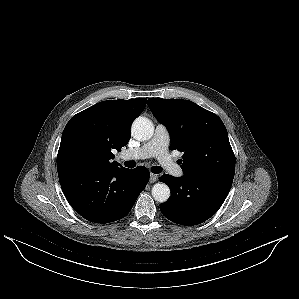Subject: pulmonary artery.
<instances>
[{"instance_id":"1","label":"pulmonary artery","mask_w":299,"mask_h":299,"mask_svg":"<svg viewBox=\"0 0 299 299\" xmlns=\"http://www.w3.org/2000/svg\"><path fill=\"white\" fill-rule=\"evenodd\" d=\"M170 135L163 124H157L152 138L140 147L127 150L123 156L131 159L155 157L162 167L174 176L183 175L182 168L174 162L168 153Z\"/></svg>"}]
</instances>
